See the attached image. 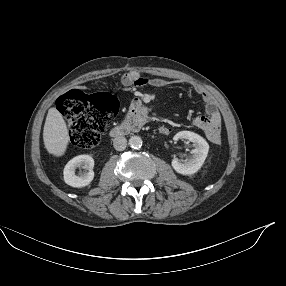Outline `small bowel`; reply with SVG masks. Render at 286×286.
I'll return each mask as SVG.
<instances>
[{
  "mask_svg": "<svg viewBox=\"0 0 286 286\" xmlns=\"http://www.w3.org/2000/svg\"><path fill=\"white\" fill-rule=\"evenodd\" d=\"M123 83L128 89H134L138 87H145V86H152V87H162L165 85V81L159 78L154 79H148L142 77L138 72L130 71L126 73L123 77ZM196 93L202 98L203 102L206 106V115L205 116H198L194 118L192 124L193 126L202 131L203 127L209 123H214L218 125L221 129V114L217 108V106L214 103V100L212 96L209 94L208 91H206L202 87H196L195 88ZM129 105L131 108L136 109L139 106L141 108H144L146 106V102L144 100H141L140 97L135 96L130 99ZM160 132L163 134H169L172 130L170 127L166 125H162L159 128ZM221 138L218 142L215 144L220 143Z\"/></svg>",
  "mask_w": 286,
  "mask_h": 286,
  "instance_id": "1",
  "label": "small bowel"
}]
</instances>
